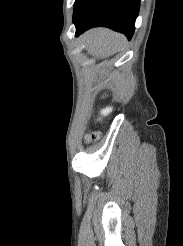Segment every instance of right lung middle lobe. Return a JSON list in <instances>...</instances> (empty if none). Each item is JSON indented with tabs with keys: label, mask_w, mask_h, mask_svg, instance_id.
Returning a JSON list of instances; mask_svg holds the SVG:
<instances>
[{
	"label": "right lung middle lobe",
	"mask_w": 183,
	"mask_h": 246,
	"mask_svg": "<svg viewBox=\"0 0 183 246\" xmlns=\"http://www.w3.org/2000/svg\"><path fill=\"white\" fill-rule=\"evenodd\" d=\"M81 2V0H76L74 3V11L77 8L78 4Z\"/></svg>",
	"instance_id": "1"
}]
</instances>
